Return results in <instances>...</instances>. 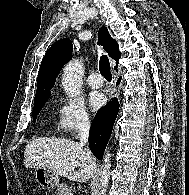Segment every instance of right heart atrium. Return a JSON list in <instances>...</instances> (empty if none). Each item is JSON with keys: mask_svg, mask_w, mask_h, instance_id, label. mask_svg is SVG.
<instances>
[{"mask_svg": "<svg viewBox=\"0 0 189 195\" xmlns=\"http://www.w3.org/2000/svg\"><path fill=\"white\" fill-rule=\"evenodd\" d=\"M91 117L84 102L79 98L61 97L57 112V130L73 134L90 125Z\"/></svg>", "mask_w": 189, "mask_h": 195, "instance_id": "d8ad5b80", "label": "right heart atrium"}]
</instances>
